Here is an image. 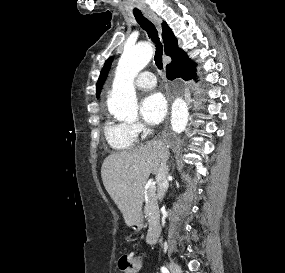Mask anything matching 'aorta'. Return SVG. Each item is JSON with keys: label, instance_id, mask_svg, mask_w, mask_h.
<instances>
[{"label": "aorta", "instance_id": "obj_1", "mask_svg": "<svg viewBox=\"0 0 285 273\" xmlns=\"http://www.w3.org/2000/svg\"><path fill=\"white\" fill-rule=\"evenodd\" d=\"M153 49L148 43L126 46L119 59L112 91L107 99L109 112L119 119H135L138 105L133 81L138 73L150 62ZM186 102L177 98L172 106V128L181 133L187 125Z\"/></svg>", "mask_w": 285, "mask_h": 273}]
</instances>
